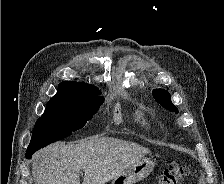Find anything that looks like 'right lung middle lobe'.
Segmentation results:
<instances>
[{"label":"right lung middle lobe","mask_w":224,"mask_h":184,"mask_svg":"<svg viewBox=\"0 0 224 184\" xmlns=\"http://www.w3.org/2000/svg\"><path fill=\"white\" fill-rule=\"evenodd\" d=\"M97 94L76 100L51 99L44 114L35 123L27 150L36 152L83 128L104 101Z\"/></svg>","instance_id":"dd1d6c3e"}]
</instances>
